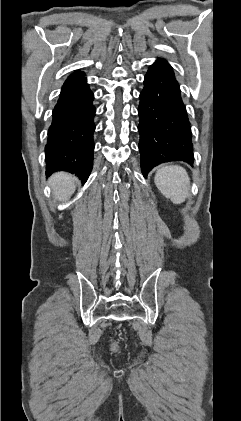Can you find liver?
Wrapping results in <instances>:
<instances>
[{
  "label": "liver",
  "mask_w": 241,
  "mask_h": 421,
  "mask_svg": "<svg viewBox=\"0 0 241 421\" xmlns=\"http://www.w3.org/2000/svg\"><path fill=\"white\" fill-rule=\"evenodd\" d=\"M76 178L65 172H57L49 178L54 198L64 202L70 198L75 191Z\"/></svg>",
  "instance_id": "6515ba94"
}]
</instances>
